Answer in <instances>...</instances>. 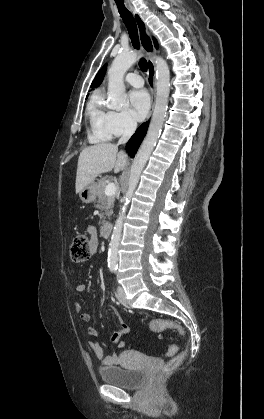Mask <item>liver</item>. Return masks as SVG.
Returning <instances> with one entry per match:
<instances>
[{"label":"liver","instance_id":"1","mask_svg":"<svg viewBox=\"0 0 264 419\" xmlns=\"http://www.w3.org/2000/svg\"><path fill=\"white\" fill-rule=\"evenodd\" d=\"M127 165V155L118 151L112 143H99L85 148L79 155L76 173V193L94 181L102 173L114 169V173L124 170Z\"/></svg>","mask_w":264,"mask_h":419}]
</instances>
